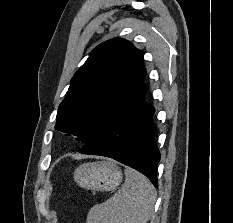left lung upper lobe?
Masks as SVG:
<instances>
[{
  "mask_svg": "<svg viewBox=\"0 0 233 223\" xmlns=\"http://www.w3.org/2000/svg\"><path fill=\"white\" fill-rule=\"evenodd\" d=\"M143 61L144 52L124 39L98 45L71 79L55 129L90 143L143 84Z\"/></svg>",
  "mask_w": 233,
  "mask_h": 223,
  "instance_id": "1",
  "label": "left lung upper lobe"
}]
</instances>
